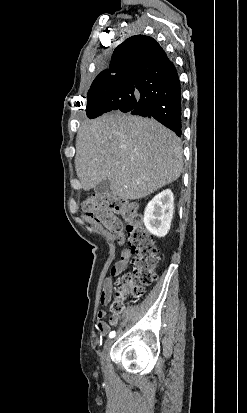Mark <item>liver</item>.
I'll use <instances>...</instances> for the list:
<instances>
[{
    "label": "liver",
    "instance_id": "1",
    "mask_svg": "<svg viewBox=\"0 0 247 413\" xmlns=\"http://www.w3.org/2000/svg\"><path fill=\"white\" fill-rule=\"evenodd\" d=\"M75 168L84 190L108 178L114 196L143 198L180 176L181 138L155 118L106 112L81 122Z\"/></svg>",
    "mask_w": 247,
    "mask_h": 413
}]
</instances>
